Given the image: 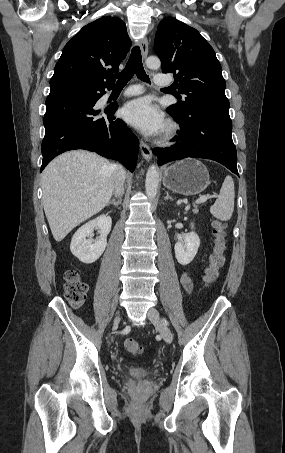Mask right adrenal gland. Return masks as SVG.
I'll return each mask as SVG.
<instances>
[{
	"mask_svg": "<svg viewBox=\"0 0 285 453\" xmlns=\"http://www.w3.org/2000/svg\"><path fill=\"white\" fill-rule=\"evenodd\" d=\"M121 202H122L121 198L113 199L107 203V206L114 205L115 207H118L121 204Z\"/></svg>",
	"mask_w": 285,
	"mask_h": 453,
	"instance_id": "obj_1",
	"label": "right adrenal gland"
}]
</instances>
